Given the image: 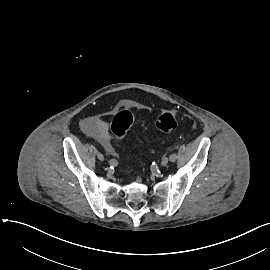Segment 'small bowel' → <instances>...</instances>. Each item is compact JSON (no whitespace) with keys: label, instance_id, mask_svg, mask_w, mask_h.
Here are the masks:
<instances>
[{"label":"small bowel","instance_id":"1","mask_svg":"<svg viewBox=\"0 0 270 270\" xmlns=\"http://www.w3.org/2000/svg\"><path fill=\"white\" fill-rule=\"evenodd\" d=\"M83 131L97 140L105 149L111 150V139L107 123L98 116H89L82 123Z\"/></svg>","mask_w":270,"mask_h":270}]
</instances>
